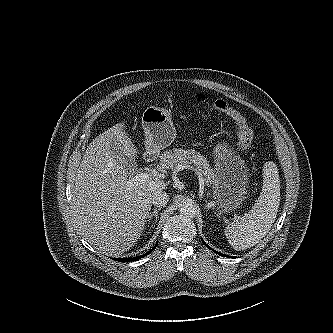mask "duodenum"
<instances>
[{"label": "duodenum", "instance_id": "obj_1", "mask_svg": "<svg viewBox=\"0 0 333 333\" xmlns=\"http://www.w3.org/2000/svg\"><path fill=\"white\" fill-rule=\"evenodd\" d=\"M154 158V154L153 153H147L146 154V160L147 161H152Z\"/></svg>", "mask_w": 333, "mask_h": 333}]
</instances>
